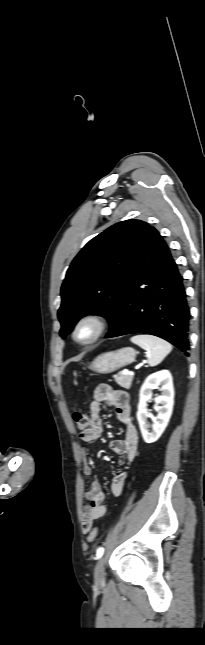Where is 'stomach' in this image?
<instances>
[{
	"label": "stomach",
	"mask_w": 205,
	"mask_h": 645,
	"mask_svg": "<svg viewBox=\"0 0 205 645\" xmlns=\"http://www.w3.org/2000/svg\"><path fill=\"white\" fill-rule=\"evenodd\" d=\"M135 356L136 351L131 347L106 352L96 357L89 369L99 374L112 373L134 362Z\"/></svg>",
	"instance_id": "1"
}]
</instances>
